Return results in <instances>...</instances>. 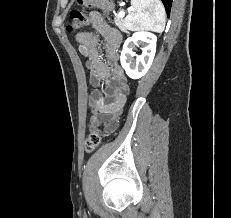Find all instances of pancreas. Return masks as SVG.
<instances>
[{
	"mask_svg": "<svg viewBox=\"0 0 231 218\" xmlns=\"http://www.w3.org/2000/svg\"><path fill=\"white\" fill-rule=\"evenodd\" d=\"M115 24L121 31L127 33L126 27L124 25V20L122 18L116 17L115 18Z\"/></svg>",
	"mask_w": 231,
	"mask_h": 218,
	"instance_id": "cf45deb5",
	"label": "pancreas"
}]
</instances>
